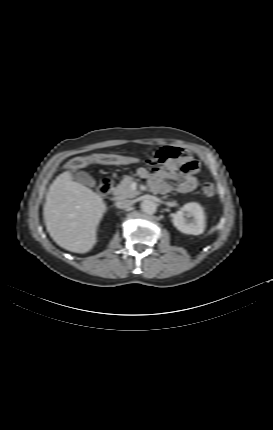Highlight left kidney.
I'll return each instance as SVG.
<instances>
[{"label": "left kidney", "instance_id": "1", "mask_svg": "<svg viewBox=\"0 0 273 430\" xmlns=\"http://www.w3.org/2000/svg\"><path fill=\"white\" fill-rule=\"evenodd\" d=\"M206 215L202 206L196 202L185 204L173 214V225L182 233L200 235L206 227Z\"/></svg>", "mask_w": 273, "mask_h": 430}]
</instances>
